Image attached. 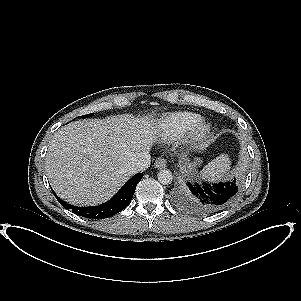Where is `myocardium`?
<instances>
[{"mask_svg":"<svg viewBox=\"0 0 301 301\" xmlns=\"http://www.w3.org/2000/svg\"><path fill=\"white\" fill-rule=\"evenodd\" d=\"M212 134V124L200 118L185 134L184 142L187 146L196 147L204 143Z\"/></svg>","mask_w":301,"mask_h":301,"instance_id":"1","label":"myocardium"}]
</instances>
